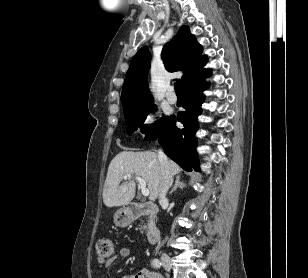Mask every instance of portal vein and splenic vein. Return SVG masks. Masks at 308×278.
<instances>
[{"mask_svg":"<svg viewBox=\"0 0 308 278\" xmlns=\"http://www.w3.org/2000/svg\"><path fill=\"white\" fill-rule=\"evenodd\" d=\"M124 179L131 178V174H125L123 176ZM135 179L139 182V186L141 188V193L143 196H148L149 195V189L146 187V182L142 177L135 176Z\"/></svg>","mask_w":308,"mask_h":278,"instance_id":"portal-vein-and-splenic-vein-1","label":"portal vein and splenic vein"}]
</instances>
